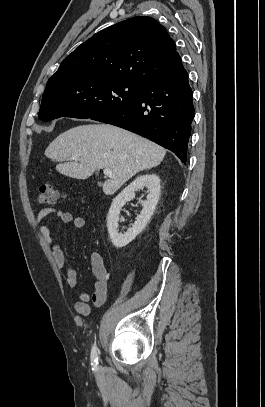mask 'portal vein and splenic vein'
<instances>
[{
  "instance_id": "obj_1",
  "label": "portal vein and splenic vein",
  "mask_w": 265,
  "mask_h": 407,
  "mask_svg": "<svg viewBox=\"0 0 265 407\" xmlns=\"http://www.w3.org/2000/svg\"><path fill=\"white\" fill-rule=\"evenodd\" d=\"M71 159H73V160L77 159V156H72ZM103 172H104L105 175H107L109 177L113 176L112 171L110 169H108V168H105Z\"/></svg>"
}]
</instances>
